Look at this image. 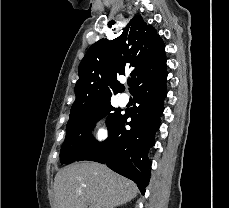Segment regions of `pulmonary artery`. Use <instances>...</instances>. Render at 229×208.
Wrapping results in <instances>:
<instances>
[{
  "mask_svg": "<svg viewBox=\"0 0 229 208\" xmlns=\"http://www.w3.org/2000/svg\"><path fill=\"white\" fill-rule=\"evenodd\" d=\"M129 102V95L126 93H123L119 96V103L120 105L124 106Z\"/></svg>",
  "mask_w": 229,
  "mask_h": 208,
  "instance_id": "obj_1",
  "label": "pulmonary artery"
}]
</instances>
